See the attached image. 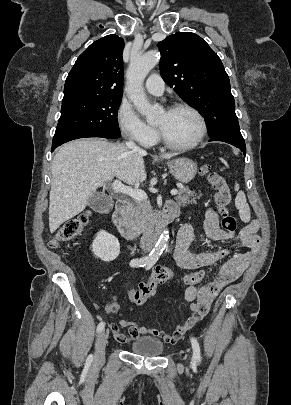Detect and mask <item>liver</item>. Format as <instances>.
<instances>
[{
  "instance_id": "obj_1",
  "label": "liver",
  "mask_w": 291,
  "mask_h": 405,
  "mask_svg": "<svg viewBox=\"0 0 291 405\" xmlns=\"http://www.w3.org/2000/svg\"><path fill=\"white\" fill-rule=\"evenodd\" d=\"M126 146L97 138L78 139L64 144L52 161L49 228L81 213L96 190L114 177L133 185L146 179L143 156ZM175 154H163L169 159Z\"/></svg>"
}]
</instances>
